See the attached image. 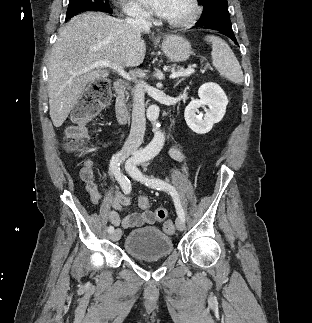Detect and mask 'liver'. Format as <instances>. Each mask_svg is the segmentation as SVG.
<instances>
[{"label": "liver", "instance_id": "6515ba94", "mask_svg": "<svg viewBox=\"0 0 312 323\" xmlns=\"http://www.w3.org/2000/svg\"><path fill=\"white\" fill-rule=\"evenodd\" d=\"M146 54L143 40L133 34L124 20L103 12H84L58 30L48 64L50 118L60 128L85 86L96 78H107L112 68H91L95 62L128 68L140 66Z\"/></svg>", "mask_w": 312, "mask_h": 323}]
</instances>
